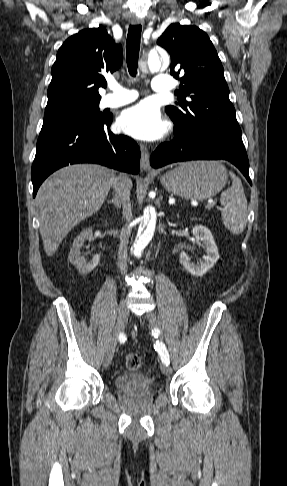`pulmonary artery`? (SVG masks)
I'll return each instance as SVG.
<instances>
[{
  "label": "pulmonary artery",
  "mask_w": 287,
  "mask_h": 486,
  "mask_svg": "<svg viewBox=\"0 0 287 486\" xmlns=\"http://www.w3.org/2000/svg\"><path fill=\"white\" fill-rule=\"evenodd\" d=\"M173 87V79L168 75H158L153 79L152 88L155 92L167 93L172 91ZM110 89L112 93L102 98L104 107H119L131 103L137 98L135 91L127 90L119 84H111Z\"/></svg>",
  "instance_id": "1"
}]
</instances>
